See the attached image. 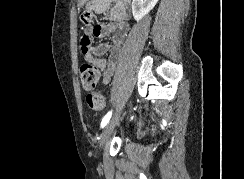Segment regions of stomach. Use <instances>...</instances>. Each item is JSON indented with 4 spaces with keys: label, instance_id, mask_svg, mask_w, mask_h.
<instances>
[{
    "label": "stomach",
    "instance_id": "0dacf381",
    "mask_svg": "<svg viewBox=\"0 0 244 179\" xmlns=\"http://www.w3.org/2000/svg\"><path fill=\"white\" fill-rule=\"evenodd\" d=\"M80 3H86L87 0H79Z\"/></svg>",
    "mask_w": 244,
    "mask_h": 179
}]
</instances>
